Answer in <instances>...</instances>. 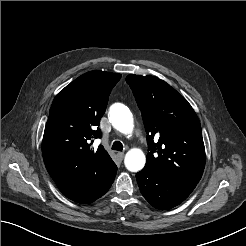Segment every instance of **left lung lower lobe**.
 Masks as SVG:
<instances>
[{
  "label": "left lung lower lobe",
  "instance_id": "obj_1",
  "mask_svg": "<svg viewBox=\"0 0 246 246\" xmlns=\"http://www.w3.org/2000/svg\"><path fill=\"white\" fill-rule=\"evenodd\" d=\"M136 179L145 199L155 208L167 210L179 205L197 183L170 175L142 169Z\"/></svg>",
  "mask_w": 246,
  "mask_h": 246
}]
</instances>
